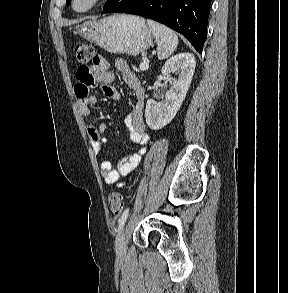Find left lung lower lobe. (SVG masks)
<instances>
[{
  "instance_id": "left-lung-lower-lobe-1",
  "label": "left lung lower lobe",
  "mask_w": 288,
  "mask_h": 293,
  "mask_svg": "<svg viewBox=\"0 0 288 293\" xmlns=\"http://www.w3.org/2000/svg\"><path fill=\"white\" fill-rule=\"evenodd\" d=\"M212 0H114L104 13H128L158 21L186 37L202 53Z\"/></svg>"
}]
</instances>
